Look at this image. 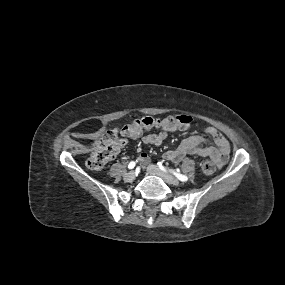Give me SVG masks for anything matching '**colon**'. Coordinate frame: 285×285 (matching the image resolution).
Wrapping results in <instances>:
<instances>
[{"mask_svg": "<svg viewBox=\"0 0 285 285\" xmlns=\"http://www.w3.org/2000/svg\"><path fill=\"white\" fill-rule=\"evenodd\" d=\"M157 124H163L167 127H173L176 130L188 131L193 125V119L186 114L168 116L163 119H154L152 117H142L131 120L119 131L117 129L107 131L95 143L88 159L87 165L92 170H100L111 160L114 159L119 149L118 133L126 138H137L143 130L154 127ZM202 172L205 175H211L216 170V163L212 160H206L201 165Z\"/></svg>", "mask_w": 285, "mask_h": 285, "instance_id": "1", "label": "colon"}]
</instances>
